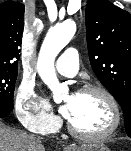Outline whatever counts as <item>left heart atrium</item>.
I'll return each mask as SVG.
<instances>
[{
	"mask_svg": "<svg viewBox=\"0 0 131 151\" xmlns=\"http://www.w3.org/2000/svg\"><path fill=\"white\" fill-rule=\"evenodd\" d=\"M62 114L66 117L69 118L71 115V107L68 103H65L62 108H61Z\"/></svg>",
	"mask_w": 131,
	"mask_h": 151,
	"instance_id": "left-heart-atrium-1",
	"label": "left heart atrium"
}]
</instances>
